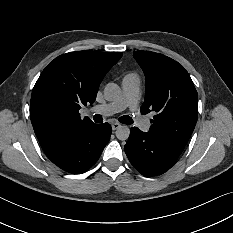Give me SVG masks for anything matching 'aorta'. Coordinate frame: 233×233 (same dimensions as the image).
Here are the masks:
<instances>
[{"label": "aorta", "instance_id": "aorta-1", "mask_svg": "<svg viewBox=\"0 0 233 233\" xmlns=\"http://www.w3.org/2000/svg\"><path fill=\"white\" fill-rule=\"evenodd\" d=\"M121 88L116 83H108L104 89V98L107 101H116L121 97ZM119 140H127L130 135V129L127 125H122L115 132Z\"/></svg>", "mask_w": 233, "mask_h": 233}]
</instances>
